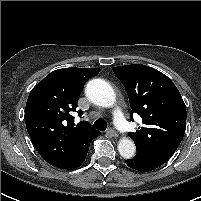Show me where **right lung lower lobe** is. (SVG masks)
Segmentation results:
<instances>
[{
    "label": "right lung lower lobe",
    "instance_id": "1",
    "mask_svg": "<svg viewBox=\"0 0 201 201\" xmlns=\"http://www.w3.org/2000/svg\"><path fill=\"white\" fill-rule=\"evenodd\" d=\"M88 150H89V145H88L87 149L85 150L84 155H83V157L81 158V160H80L74 167H72V168H76V167H79V166L82 165L83 161H84L85 158H86V155H87V153H88Z\"/></svg>",
    "mask_w": 201,
    "mask_h": 201
}]
</instances>
